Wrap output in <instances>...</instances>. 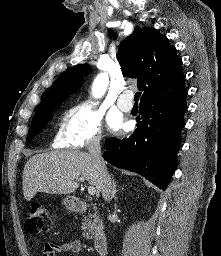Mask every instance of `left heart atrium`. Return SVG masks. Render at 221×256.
Returning a JSON list of instances; mask_svg holds the SVG:
<instances>
[{"label":"left heart atrium","instance_id":"39dd6f15","mask_svg":"<svg viewBox=\"0 0 221 256\" xmlns=\"http://www.w3.org/2000/svg\"><path fill=\"white\" fill-rule=\"evenodd\" d=\"M108 124H109L110 128L113 130H118L123 126L122 119L114 114H111L108 117Z\"/></svg>","mask_w":221,"mask_h":256}]
</instances>
